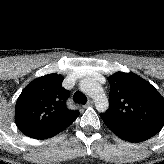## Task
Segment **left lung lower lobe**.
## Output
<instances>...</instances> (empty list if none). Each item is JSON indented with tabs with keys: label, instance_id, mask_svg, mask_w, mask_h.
<instances>
[{
	"label": "left lung lower lobe",
	"instance_id": "obj_1",
	"mask_svg": "<svg viewBox=\"0 0 164 164\" xmlns=\"http://www.w3.org/2000/svg\"><path fill=\"white\" fill-rule=\"evenodd\" d=\"M101 118L105 125L113 133H115L118 137L125 141L138 143L145 141L155 135L154 133L146 130L128 127L126 125L120 124L119 122H116L114 119L105 114H101Z\"/></svg>",
	"mask_w": 164,
	"mask_h": 164
}]
</instances>
